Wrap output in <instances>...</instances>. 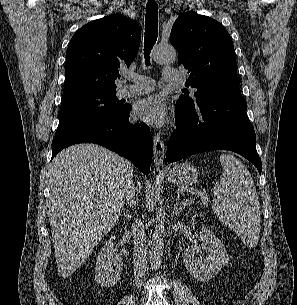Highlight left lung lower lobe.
<instances>
[{
    "label": "left lung lower lobe",
    "mask_w": 297,
    "mask_h": 305,
    "mask_svg": "<svg viewBox=\"0 0 297 305\" xmlns=\"http://www.w3.org/2000/svg\"><path fill=\"white\" fill-rule=\"evenodd\" d=\"M246 109L239 87L220 92L195 107L176 103L177 125L168 142L167 162L205 151L229 150L248 159L261 173L256 135Z\"/></svg>",
    "instance_id": "obj_1"
}]
</instances>
